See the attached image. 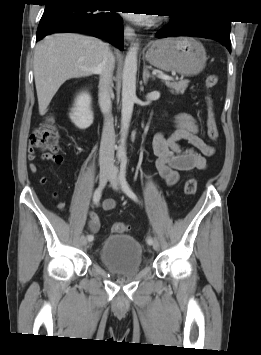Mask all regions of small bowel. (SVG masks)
Listing matches in <instances>:
<instances>
[{"mask_svg":"<svg viewBox=\"0 0 261 355\" xmlns=\"http://www.w3.org/2000/svg\"><path fill=\"white\" fill-rule=\"evenodd\" d=\"M180 141H187L192 148H183ZM153 153L156 157V168L160 177L169 186H174L180 181V173L190 170H206L209 166L207 157L215 154L214 147L208 145L199 132V127L192 115L180 113L174 117V129L170 135L158 132L152 141ZM28 159L33 161L35 153L32 148L28 150ZM43 159L62 163L63 158L59 155L44 156ZM31 173L36 174L39 166L35 162L29 165ZM47 177H42L40 182L47 183ZM95 205L101 206L104 210H111L115 207L114 199L104 200ZM89 229L92 233L100 229V220L95 212H89Z\"/></svg>","mask_w":261,"mask_h":355,"instance_id":"obj_1","label":"small bowel"}]
</instances>
